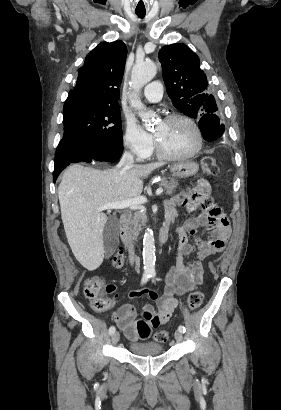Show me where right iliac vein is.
Segmentation results:
<instances>
[{"mask_svg": "<svg viewBox=\"0 0 281 410\" xmlns=\"http://www.w3.org/2000/svg\"><path fill=\"white\" fill-rule=\"evenodd\" d=\"M119 339H120V334L118 332H115L111 338L112 344H117Z\"/></svg>", "mask_w": 281, "mask_h": 410, "instance_id": "right-iliac-vein-1", "label": "right iliac vein"}]
</instances>
